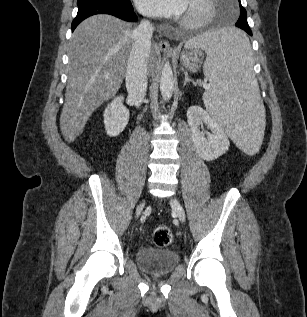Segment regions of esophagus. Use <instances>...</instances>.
Masks as SVG:
<instances>
[{
    "mask_svg": "<svg viewBox=\"0 0 307 317\" xmlns=\"http://www.w3.org/2000/svg\"><path fill=\"white\" fill-rule=\"evenodd\" d=\"M158 47H159V49H160L161 51H163V52H168V53H170V52L172 51L169 42L166 41V40H160V41L158 42Z\"/></svg>",
    "mask_w": 307,
    "mask_h": 317,
    "instance_id": "34e87169",
    "label": "esophagus"
}]
</instances>
